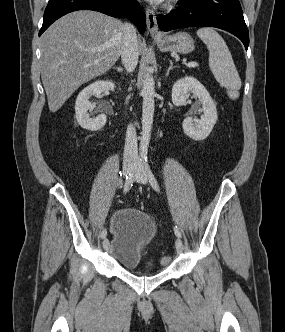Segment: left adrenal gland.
<instances>
[{
    "label": "left adrenal gland",
    "mask_w": 285,
    "mask_h": 332,
    "mask_svg": "<svg viewBox=\"0 0 285 332\" xmlns=\"http://www.w3.org/2000/svg\"><path fill=\"white\" fill-rule=\"evenodd\" d=\"M169 63H170V65H169V68L167 70L166 76L169 74L170 70L173 69V67H174L172 60H169Z\"/></svg>",
    "instance_id": "a2214340"
}]
</instances>
